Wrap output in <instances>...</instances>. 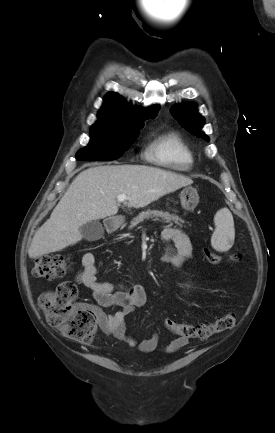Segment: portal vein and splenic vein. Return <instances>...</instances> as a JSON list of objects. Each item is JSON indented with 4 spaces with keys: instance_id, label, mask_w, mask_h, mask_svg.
Listing matches in <instances>:
<instances>
[{
    "instance_id": "18ae733b",
    "label": "portal vein and splenic vein",
    "mask_w": 275,
    "mask_h": 433,
    "mask_svg": "<svg viewBox=\"0 0 275 433\" xmlns=\"http://www.w3.org/2000/svg\"><path fill=\"white\" fill-rule=\"evenodd\" d=\"M128 199H129V197L126 196V195H124V194H120V195L117 196L118 202H124V201H126Z\"/></svg>"
}]
</instances>
